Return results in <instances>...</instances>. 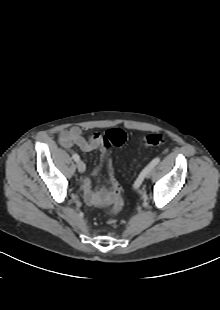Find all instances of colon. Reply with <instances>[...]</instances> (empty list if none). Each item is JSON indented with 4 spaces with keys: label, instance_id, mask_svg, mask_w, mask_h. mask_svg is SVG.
Listing matches in <instances>:
<instances>
[{
    "label": "colon",
    "instance_id": "obj_1",
    "mask_svg": "<svg viewBox=\"0 0 220 310\" xmlns=\"http://www.w3.org/2000/svg\"><path fill=\"white\" fill-rule=\"evenodd\" d=\"M126 133L119 128L109 129L102 139L103 147L109 149L112 146H121L126 141ZM164 142V137L159 133H150L141 139V144L145 147H159ZM108 171L112 186V193L105 202V210L108 215L118 214L123 206L124 200L121 195V188L114 178L113 167L110 160H108Z\"/></svg>",
    "mask_w": 220,
    "mask_h": 310
}]
</instances>
